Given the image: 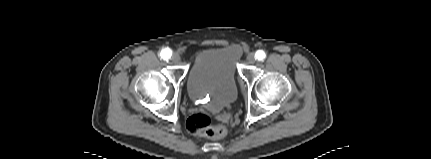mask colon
Masks as SVG:
<instances>
[{
  "mask_svg": "<svg viewBox=\"0 0 431 159\" xmlns=\"http://www.w3.org/2000/svg\"><path fill=\"white\" fill-rule=\"evenodd\" d=\"M186 128L192 135L205 136L212 139H219L226 135L227 129L221 124L213 125L210 117L203 112H197L189 116L186 121Z\"/></svg>",
  "mask_w": 431,
  "mask_h": 159,
  "instance_id": "obj_1",
  "label": "colon"
}]
</instances>
